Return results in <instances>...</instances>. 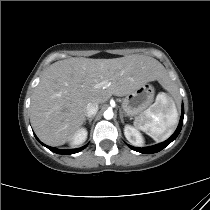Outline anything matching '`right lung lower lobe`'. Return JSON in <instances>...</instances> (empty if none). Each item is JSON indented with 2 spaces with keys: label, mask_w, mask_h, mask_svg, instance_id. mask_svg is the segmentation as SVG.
I'll list each match as a JSON object with an SVG mask.
<instances>
[{
  "label": "right lung lower lobe",
  "mask_w": 210,
  "mask_h": 210,
  "mask_svg": "<svg viewBox=\"0 0 210 210\" xmlns=\"http://www.w3.org/2000/svg\"><path fill=\"white\" fill-rule=\"evenodd\" d=\"M36 137V136H35ZM37 139V137H36ZM38 140V139H37ZM39 141V140H38ZM40 142V141H39ZM44 145V144H43ZM46 146V145H44ZM49 150H51L52 152L54 153H58V154H74V153H77L81 150H83L86 146L84 147H81V148H78V149H70V150H67V149H56V148H52V147H49V146H46Z\"/></svg>",
  "instance_id": "right-lung-lower-lobe-1"
}]
</instances>
